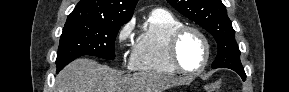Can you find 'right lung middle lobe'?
Instances as JSON below:
<instances>
[{"mask_svg":"<svg viewBox=\"0 0 289 92\" xmlns=\"http://www.w3.org/2000/svg\"><path fill=\"white\" fill-rule=\"evenodd\" d=\"M123 24L66 22L57 52V73L83 55L113 60L115 38Z\"/></svg>","mask_w":289,"mask_h":92,"instance_id":"obj_1","label":"right lung middle lobe"}]
</instances>
